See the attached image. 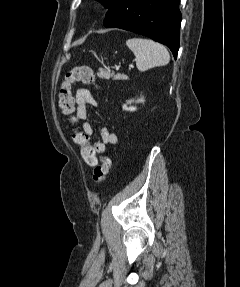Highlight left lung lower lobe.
Returning <instances> with one entry per match:
<instances>
[{
    "instance_id": "0a47b994",
    "label": "left lung lower lobe",
    "mask_w": 240,
    "mask_h": 287,
    "mask_svg": "<svg viewBox=\"0 0 240 287\" xmlns=\"http://www.w3.org/2000/svg\"><path fill=\"white\" fill-rule=\"evenodd\" d=\"M108 8L105 27L125 29L165 44L176 59L181 24L179 0H112Z\"/></svg>"
}]
</instances>
